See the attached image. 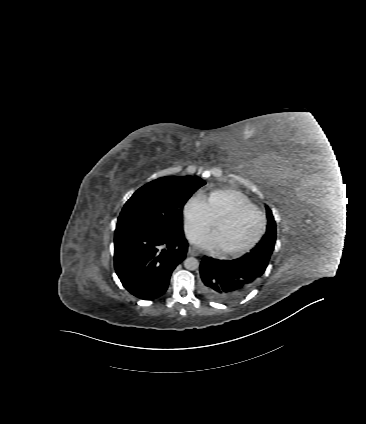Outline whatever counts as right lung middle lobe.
Returning a JSON list of instances; mask_svg holds the SVG:
<instances>
[{"instance_id": "1", "label": "right lung middle lobe", "mask_w": 366, "mask_h": 424, "mask_svg": "<svg viewBox=\"0 0 366 424\" xmlns=\"http://www.w3.org/2000/svg\"><path fill=\"white\" fill-rule=\"evenodd\" d=\"M206 183L199 177H163L138 189L124 205L117 228H155L166 234L183 233L182 209Z\"/></svg>"}]
</instances>
